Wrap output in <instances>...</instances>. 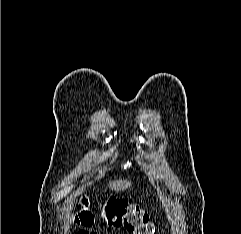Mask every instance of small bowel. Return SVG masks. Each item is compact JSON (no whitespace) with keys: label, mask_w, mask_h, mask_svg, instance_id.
<instances>
[{"label":"small bowel","mask_w":241,"mask_h":234,"mask_svg":"<svg viewBox=\"0 0 241 234\" xmlns=\"http://www.w3.org/2000/svg\"><path fill=\"white\" fill-rule=\"evenodd\" d=\"M79 234H97V233H90L87 230H82Z\"/></svg>","instance_id":"small-bowel-1"}]
</instances>
